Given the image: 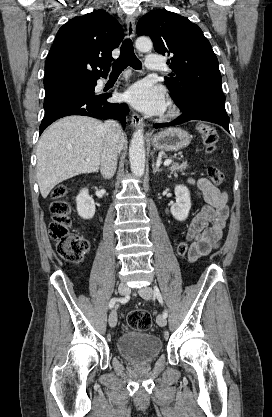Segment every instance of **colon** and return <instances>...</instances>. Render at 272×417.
<instances>
[{"instance_id": "1", "label": "colon", "mask_w": 272, "mask_h": 417, "mask_svg": "<svg viewBox=\"0 0 272 417\" xmlns=\"http://www.w3.org/2000/svg\"><path fill=\"white\" fill-rule=\"evenodd\" d=\"M198 132L203 139L206 152L213 158L217 150L218 134L214 127L200 124ZM208 176L214 185H221L225 177L216 166H210ZM69 189L66 185H59L52 192L53 202L50 206L52 220L49 233L55 242L59 256L65 261L78 263L89 251L90 244L83 237L71 232L72 207L67 201ZM190 249L188 242H180L176 246L178 256H185ZM128 326L133 330L146 331L152 326L151 314L145 310L132 311L127 317Z\"/></svg>"}]
</instances>
